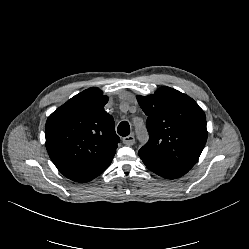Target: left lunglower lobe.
<instances>
[{
    "label": "left lung lower lobe",
    "instance_id": "1",
    "mask_svg": "<svg viewBox=\"0 0 249 249\" xmlns=\"http://www.w3.org/2000/svg\"><path fill=\"white\" fill-rule=\"evenodd\" d=\"M143 162L146 165V167L150 169L152 172L167 179L178 178L189 171L184 168L171 166L159 160H152V161L143 160Z\"/></svg>",
    "mask_w": 249,
    "mask_h": 249
}]
</instances>
